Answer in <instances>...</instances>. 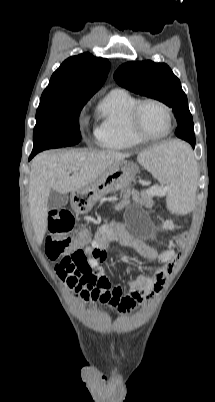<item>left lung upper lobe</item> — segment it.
I'll return each instance as SVG.
<instances>
[{"instance_id": "left-lung-upper-lobe-1", "label": "left lung upper lobe", "mask_w": 215, "mask_h": 402, "mask_svg": "<svg viewBox=\"0 0 215 402\" xmlns=\"http://www.w3.org/2000/svg\"><path fill=\"white\" fill-rule=\"evenodd\" d=\"M116 82L134 92L165 103L177 120L175 134L195 146L194 124L179 79L165 63L131 61L114 73Z\"/></svg>"}]
</instances>
